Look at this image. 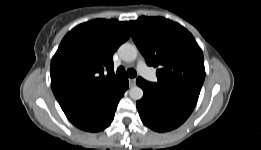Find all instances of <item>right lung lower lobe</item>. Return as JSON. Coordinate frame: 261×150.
Returning <instances> with one entry per match:
<instances>
[{
    "label": "right lung lower lobe",
    "mask_w": 261,
    "mask_h": 150,
    "mask_svg": "<svg viewBox=\"0 0 261 150\" xmlns=\"http://www.w3.org/2000/svg\"><path fill=\"white\" fill-rule=\"evenodd\" d=\"M127 88L128 80L124 77L123 85L118 92L70 121L76 127L85 131L98 132L105 129L111 124L118 102Z\"/></svg>",
    "instance_id": "right-lung-lower-lobe-1"
}]
</instances>
